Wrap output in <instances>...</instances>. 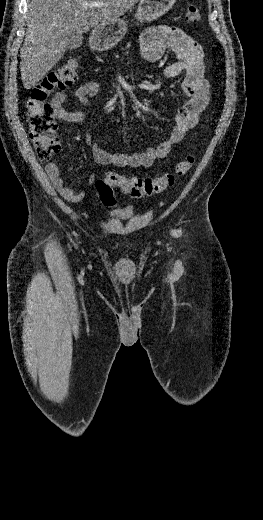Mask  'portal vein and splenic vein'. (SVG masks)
Wrapping results in <instances>:
<instances>
[{
    "mask_svg": "<svg viewBox=\"0 0 263 520\" xmlns=\"http://www.w3.org/2000/svg\"><path fill=\"white\" fill-rule=\"evenodd\" d=\"M86 5L89 6V7H100L103 4L101 2H93V3H90V4H86Z\"/></svg>",
    "mask_w": 263,
    "mask_h": 520,
    "instance_id": "portal-vein-and-splenic-vein-1",
    "label": "portal vein and splenic vein"
}]
</instances>
